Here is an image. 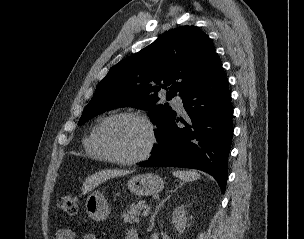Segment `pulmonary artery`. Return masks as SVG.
Masks as SVG:
<instances>
[{
  "label": "pulmonary artery",
  "instance_id": "pulmonary-artery-1",
  "mask_svg": "<svg viewBox=\"0 0 304 239\" xmlns=\"http://www.w3.org/2000/svg\"><path fill=\"white\" fill-rule=\"evenodd\" d=\"M172 103L174 104V106L176 107V109L179 112L184 111L183 100H182V97L180 95L174 96L173 99H172Z\"/></svg>",
  "mask_w": 304,
  "mask_h": 239
}]
</instances>
